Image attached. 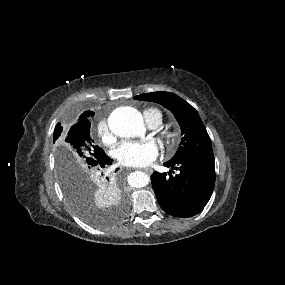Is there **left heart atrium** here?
<instances>
[{
	"instance_id": "obj_1",
	"label": "left heart atrium",
	"mask_w": 285,
	"mask_h": 285,
	"mask_svg": "<svg viewBox=\"0 0 285 285\" xmlns=\"http://www.w3.org/2000/svg\"><path fill=\"white\" fill-rule=\"evenodd\" d=\"M157 144L150 140L120 142L114 150L117 160L130 167H144L151 164L158 156Z\"/></svg>"
}]
</instances>
